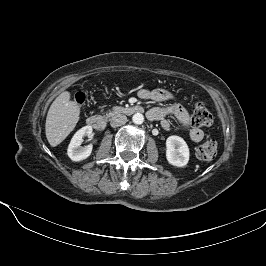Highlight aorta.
Segmentation results:
<instances>
[{"mask_svg": "<svg viewBox=\"0 0 266 266\" xmlns=\"http://www.w3.org/2000/svg\"><path fill=\"white\" fill-rule=\"evenodd\" d=\"M134 124L140 125L144 122V116L141 113H135L132 117Z\"/></svg>", "mask_w": 266, "mask_h": 266, "instance_id": "aorta-1", "label": "aorta"}]
</instances>
